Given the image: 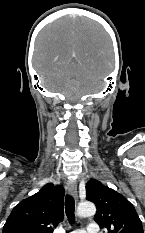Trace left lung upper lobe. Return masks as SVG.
<instances>
[{
	"instance_id": "1",
	"label": "left lung upper lobe",
	"mask_w": 145,
	"mask_h": 233,
	"mask_svg": "<svg viewBox=\"0 0 145 233\" xmlns=\"http://www.w3.org/2000/svg\"><path fill=\"white\" fill-rule=\"evenodd\" d=\"M86 194L97 208L95 222L108 233H144L134 206L123 195L95 179L87 182Z\"/></svg>"
}]
</instances>
